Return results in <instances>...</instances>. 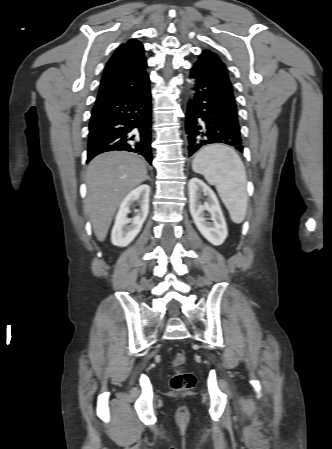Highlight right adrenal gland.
Here are the masks:
<instances>
[{
    "instance_id": "2a0ac1e0",
    "label": "right adrenal gland",
    "mask_w": 332,
    "mask_h": 449,
    "mask_svg": "<svg viewBox=\"0 0 332 449\" xmlns=\"http://www.w3.org/2000/svg\"><path fill=\"white\" fill-rule=\"evenodd\" d=\"M147 180H150L149 176L146 177Z\"/></svg>"
}]
</instances>
